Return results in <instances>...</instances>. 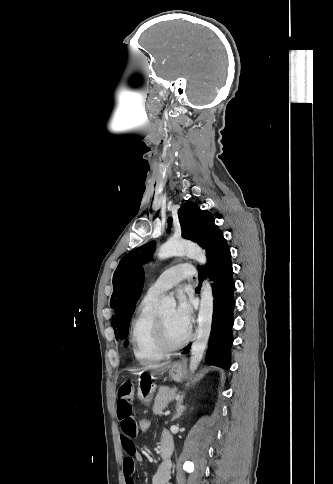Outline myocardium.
Wrapping results in <instances>:
<instances>
[{
  "label": "myocardium",
  "instance_id": "myocardium-1",
  "mask_svg": "<svg viewBox=\"0 0 333 484\" xmlns=\"http://www.w3.org/2000/svg\"><path fill=\"white\" fill-rule=\"evenodd\" d=\"M155 338L159 348L164 353H169V352L176 351L182 348L183 346H185L191 338V332L188 331L184 336V338H182L180 341L171 342L167 336L164 321L159 314V315H156V319H155Z\"/></svg>",
  "mask_w": 333,
  "mask_h": 484
}]
</instances>
